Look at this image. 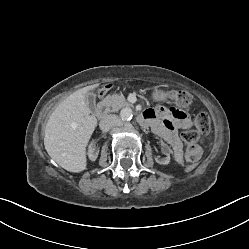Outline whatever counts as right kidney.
I'll return each mask as SVG.
<instances>
[{"mask_svg": "<svg viewBox=\"0 0 249 249\" xmlns=\"http://www.w3.org/2000/svg\"><path fill=\"white\" fill-rule=\"evenodd\" d=\"M85 149L87 152H89L88 155H89L90 160L95 161L96 158L98 157V153H99V151L97 150L98 149L97 145L90 143L86 146Z\"/></svg>", "mask_w": 249, "mask_h": 249, "instance_id": "1", "label": "right kidney"}]
</instances>
